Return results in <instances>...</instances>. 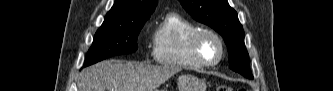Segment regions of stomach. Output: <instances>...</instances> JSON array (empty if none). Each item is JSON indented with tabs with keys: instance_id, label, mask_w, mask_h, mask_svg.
<instances>
[{
	"instance_id": "stomach-1",
	"label": "stomach",
	"mask_w": 333,
	"mask_h": 91,
	"mask_svg": "<svg viewBox=\"0 0 333 91\" xmlns=\"http://www.w3.org/2000/svg\"><path fill=\"white\" fill-rule=\"evenodd\" d=\"M179 91H205L203 80L192 75H181L177 80Z\"/></svg>"
}]
</instances>
